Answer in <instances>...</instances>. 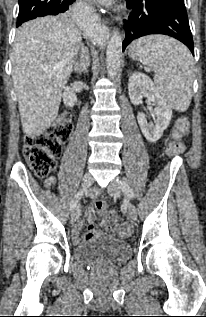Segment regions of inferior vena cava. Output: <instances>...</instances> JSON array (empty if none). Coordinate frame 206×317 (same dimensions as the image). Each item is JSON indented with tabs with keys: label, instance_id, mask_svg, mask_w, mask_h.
I'll use <instances>...</instances> for the list:
<instances>
[{
	"label": "inferior vena cava",
	"instance_id": "inferior-vena-cava-1",
	"mask_svg": "<svg viewBox=\"0 0 206 317\" xmlns=\"http://www.w3.org/2000/svg\"><path fill=\"white\" fill-rule=\"evenodd\" d=\"M84 65H85V64H84V63H83V61H82V62L80 63V65H79V66H80V68H81V70H83Z\"/></svg>",
	"mask_w": 206,
	"mask_h": 317
}]
</instances>
